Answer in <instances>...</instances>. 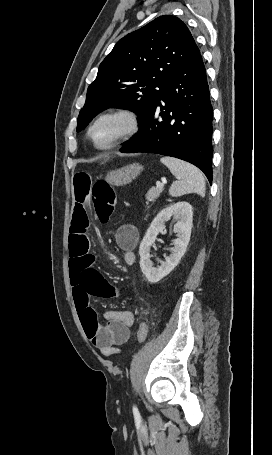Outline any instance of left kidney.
Listing matches in <instances>:
<instances>
[{
    "mask_svg": "<svg viewBox=\"0 0 272 455\" xmlns=\"http://www.w3.org/2000/svg\"><path fill=\"white\" fill-rule=\"evenodd\" d=\"M172 216L178 219L174 225L177 239L173 241L172 254L165 257V261L159 267H154L150 260V249L154 245L157 235L164 231V223ZM193 211L188 202H178L161 210L152 221L150 227L140 244V268L150 283H157L167 276L180 262L185 254L190 241L192 229Z\"/></svg>",
    "mask_w": 272,
    "mask_h": 455,
    "instance_id": "5707ae66",
    "label": "left kidney"
}]
</instances>
